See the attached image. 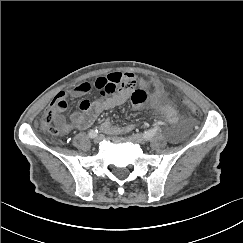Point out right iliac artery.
<instances>
[{
    "mask_svg": "<svg viewBox=\"0 0 243 243\" xmlns=\"http://www.w3.org/2000/svg\"><path fill=\"white\" fill-rule=\"evenodd\" d=\"M97 134H98V129H96V128L90 130L89 133H88V135H89L90 138H94V137H96Z\"/></svg>",
    "mask_w": 243,
    "mask_h": 243,
    "instance_id": "right-iliac-artery-1",
    "label": "right iliac artery"
}]
</instances>
